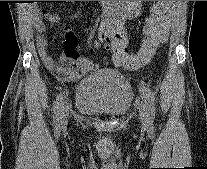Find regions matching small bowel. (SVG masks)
<instances>
[{
  "label": "small bowel",
  "instance_id": "c3829d8e",
  "mask_svg": "<svg viewBox=\"0 0 207 169\" xmlns=\"http://www.w3.org/2000/svg\"><path fill=\"white\" fill-rule=\"evenodd\" d=\"M66 2L71 3L73 1ZM141 3L142 1H126V4L121 5L118 1H101L104 19L100 24V29L116 33L114 42L124 40L127 43L123 23L138 14ZM59 19L58 14H53L47 10H39L33 14L37 48L45 67L64 82L76 80L98 71L101 68L100 63L79 56L76 37L71 29L67 30L65 34L62 56L57 60L50 56L48 39L45 35L47 23H56Z\"/></svg>",
  "mask_w": 207,
  "mask_h": 169
}]
</instances>
